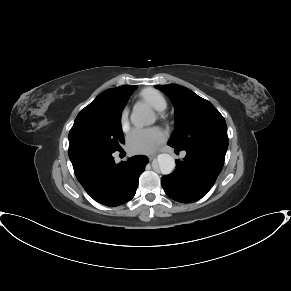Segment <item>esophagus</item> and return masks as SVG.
Wrapping results in <instances>:
<instances>
[{
    "label": "esophagus",
    "mask_w": 291,
    "mask_h": 291,
    "mask_svg": "<svg viewBox=\"0 0 291 291\" xmlns=\"http://www.w3.org/2000/svg\"><path fill=\"white\" fill-rule=\"evenodd\" d=\"M156 157H157V154L156 153L148 156L149 160H153Z\"/></svg>",
    "instance_id": "1"
}]
</instances>
